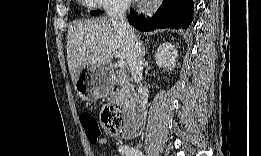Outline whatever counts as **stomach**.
I'll return each mask as SVG.
<instances>
[{"label": "stomach", "mask_w": 261, "mask_h": 156, "mask_svg": "<svg viewBox=\"0 0 261 156\" xmlns=\"http://www.w3.org/2000/svg\"><path fill=\"white\" fill-rule=\"evenodd\" d=\"M80 75L75 89L82 100L93 102L105 95L111 87V72L107 65L88 66ZM82 73V74H83Z\"/></svg>", "instance_id": "stomach-1"}]
</instances>
